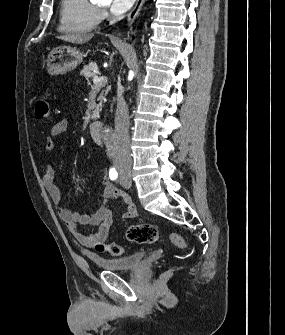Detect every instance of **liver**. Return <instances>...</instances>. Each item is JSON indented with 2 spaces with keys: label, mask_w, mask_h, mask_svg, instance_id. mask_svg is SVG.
I'll return each mask as SVG.
<instances>
[{
  "label": "liver",
  "mask_w": 285,
  "mask_h": 335,
  "mask_svg": "<svg viewBox=\"0 0 285 335\" xmlns=\"http://www.w3.org/2000/svg\"><path fill=\"white\" fill-rule=\"evenodd\" d=\"M94 34H68V36H56L58 40H64V42H71V44H86Z\"/></svg>",
  "instance_id": "obj_1"
}]
</instances>
